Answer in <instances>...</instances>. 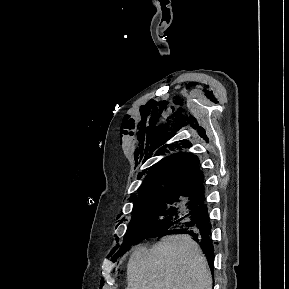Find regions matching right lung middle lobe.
<instances>
[{
	"label": "right lung middle lobe",
	"instance_id": "obj_1",
	"mask_svg": "<svg viewBox=\"0 0 289 289\" xmlns=\"http://www.w3.org/2000/svg\"><path fill=\"white\" fill-rule=\"evenodd\" d=\"M200 197L189 195H156L137 200L136 208L117 256L153 235L165 236L179 228L194 212Z\"/></svg>",
	"mask_w": 289,
	"mask_h": 289
}]
</instances>
